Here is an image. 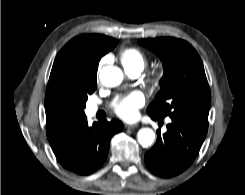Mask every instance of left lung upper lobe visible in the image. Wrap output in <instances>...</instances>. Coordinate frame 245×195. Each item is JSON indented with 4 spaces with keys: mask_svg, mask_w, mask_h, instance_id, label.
I'll return each mask as SVG.
<instances>
[{
    "mask_svg": "<svg viewBox=\"0 0 245 195\" xmlns=\"http://www.w3.org/2000/svg\"><path fill=\"white\" fill-rule=\"evenodd\" d=\"M138 43L155 52L164 67L161 89L147 113L156 119L169 116L208 123L210 88L197 51L188 42L171 37Z\"/></svg>",
    "mask_w": 245,
    "mask_h": 195,
    "instance_id": "5c2ea615",
    "label": "left lung upper lobe"
}]
</instances>
